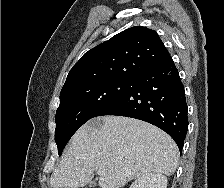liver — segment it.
Masks as SVG:
<instances>
[{
	"instance_id": "1",
	"label": "liver",
	"mask_w": 224,
	"mask_h": 188,
	"mask_svg": "<svg viewBox=\"0 0 224 188\" xmlns=\"http://www.w3.org/2000/svg\"><path fill=\"white\" fill-rule=\"evenodd\" d=\"M179 156L174 140L149 123L120 116L98 117L74 134L51 176L50 186L84 187L94 171L101 169V188H122L149 173L171 176Z\"/></svg>"
}]
</instances>
